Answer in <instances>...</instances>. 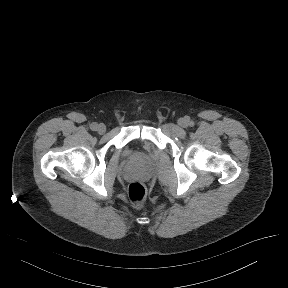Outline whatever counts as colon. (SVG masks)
Wrapping results in <instances>:
<instances>
[{
    "mask_svg": "<svg viewBox=\"0 0 288 288\" xmlns=\"http://www.w3.org/2000/svg\"><path fill=\"white\" fill-rule=\"evenodd\" d=\"M127 195L129 202L139 208L145 202L147 190L140 182H132L128 186Z\"/></svg>",
    "mask_w": 288,
    "mask_h": 288,
    "instance_id": "obj_1",
    "label": "colon"
}]
</instances>
